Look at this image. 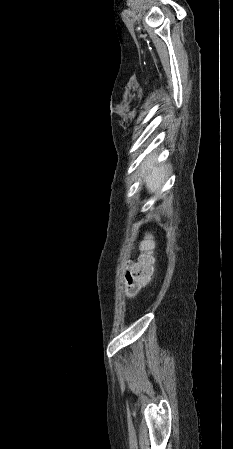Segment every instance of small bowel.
<instances>
[{"label":"small bowel","instance_id":"obj_1","mask_svg":"<svg viewBox=\"0 0 233 449\" xmlns=\"http://www.w3.org/2000/svg\"><path fill=\"white\" fill-rule=\"evenodd\" d=\"M129 284H130V282H129V280L127 279V280H126V286L129 287V286H130Z\"/></svg>","mask_w":233,"mask_h":449}]
</instances>
